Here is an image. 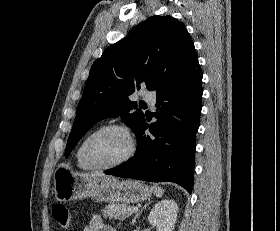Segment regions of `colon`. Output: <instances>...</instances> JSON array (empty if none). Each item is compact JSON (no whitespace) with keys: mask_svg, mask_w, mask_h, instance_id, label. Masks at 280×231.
Segmentation results:
<instances>
[{"mask_svg":"<svg viewBox=\"0 0 280 231\" xmlns=\"http://www.w3.org/2000/svg\"><path fill=\"white\" fill-rule=\"evenodd\" d=\"M54 213L57 216V220H60L61 230H68V225L74 224V221L70 220L71 216L69 215L68 208H65V206L57 205V208H54Z\"/></svg>","mask_w":280,"mask_h":231,"instance_id":"5ec220e1","label":"colon"}]
</instances>
